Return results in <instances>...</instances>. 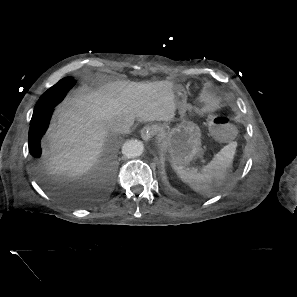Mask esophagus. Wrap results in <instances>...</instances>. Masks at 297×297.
<instances>
[{
    "instance_id": "esophagus-1",
    "label": "esophagus",
    "mask_w": 297,
    "mask_h": 297,
    "mask_svg": "<svg viewBox=\"0 0 297 297\" xmlns=\"http://www.w3.org/2000/svg\"><path fill=\"white\" fill-rule=\"evenodd\" d=\"M156 134V128L153 126H144L141 129V138L144 141H149Z\"/></svg>"
}]
</instances>
